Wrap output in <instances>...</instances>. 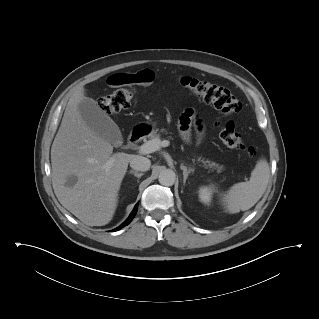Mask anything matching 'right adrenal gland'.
<instances>
[{
	"instance_id": "2a0ac1e0",
	"label": "right adrenal gland",
	"mask_w": 319,
	"mask_h": 319,
	"mask_svg": "<svg viewBox=\"0 0 319 319\" xmlns=\"http://www.w3.org/2000/svg\"><path fill=\"white\" fill-rule=\"evenodd\" d=\"M130 174H133L135 177H137L138 179L141 178V176H143V173H138L137 171H133L130 170L129 172Z\"/></svg>"
}]
</instances>
